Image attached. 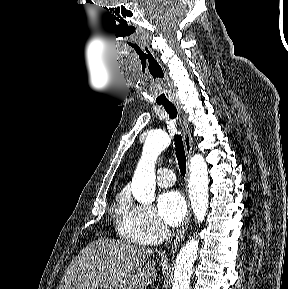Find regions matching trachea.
Masks as SVG:
<instances>
[{
    "label": "trachea",
    "instance_id": "3493384b",
    "mask_svg": "<svg viewBox=\"0 0 288 289\" xmlns=\"http://www.w3.org/2000/svg\"><path fill=\"white\" fill-rule=\"evenodd\" d=\"M137 52V56L141 63L142 69L147 71L152 79L153 83V97L155 101L163 105L165 111L169 114L171 119L177 117V110L175 106L167 100V90L164 85L165 73L160 66L157 59L147 48L140 49ZM176 157L178 160L179 169L181 175L184 177L186 174V156L182 137L179 134L174 135Z\"/></svg>",
    "mask_w": 288,
    "mask_h": 289
}]
</instances>
